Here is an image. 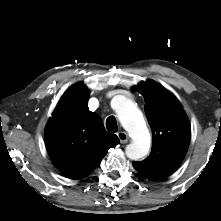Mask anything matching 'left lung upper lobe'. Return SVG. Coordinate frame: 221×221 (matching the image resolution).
Here are the masks:
<instances>
[{"label":"left lung upper lobe","mask_w":221,"mask_h":221,"mask_svg":"<svg viewBox=\"0 0 221 221\" xmlns=\"http://www.w3.org/2000/svg\"><path fill=\"white\" fill-rule=\"evenodd\" d=\"M144 96L145 113L152 129V150L141 162H133L143 176L160 180L181 164L190 142V124L176 97L153 80L132 88Z\"/></svg>","instance_id":"5c2ea615"}]
</instances>
